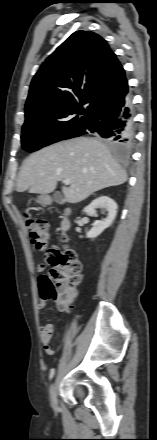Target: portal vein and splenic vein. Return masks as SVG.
I'll return each instance as SVG.
<instances>
[{
  "label": "portal vein and splenic vein",
  "instance_id": "portal-vein-and-splenic-vein-1",
  "mask_svg": "<svg viewBox=\"0 0 157 440\" xmlns=\"http://www.w3.org/2000/svg\"><path fill=\"white\" fill-rule=\"evenodd\" d=\"M64 184L65 185H69L70 184V180L69 179L64 180Z\"/></svg>",
  "mask_w": 157,
  "mask_h": 440
}]
</instances>
